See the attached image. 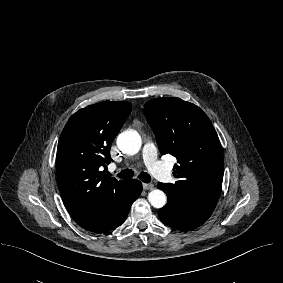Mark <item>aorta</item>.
Here are the masks:
<instances>
[{"instance_id":"1","label":"aorta","mask_w":283,"mask_h":283,"mask_svg":"<svg viewBox=\"0 0 283 283\" xmlns=\"http://www.w3.org/2000/svg\"><path fill=\"white\" fill-rule=\"evenodd\" d=\"M141 144L140 135L134 130L124 131L117 138L118 148L128 155L138 153ZM148 200L153 207L162 208L167 202V197L162 190L155 189L148 194Z\"/></svg>"}]
</instances>
